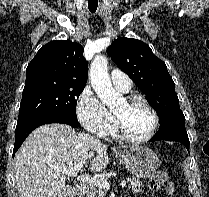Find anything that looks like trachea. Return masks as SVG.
Here are the masks:
<instances>
[{"label": "trachea", "instance_id": "obj_1", "mask_svg": "<svg viewBox=\"0 0 209 197\" xmlns=\"http://www.w3.org/2000/svg\"><path fill=\"white\" fill-rule=\"evenodd\" d=\"M98 7V1L97 0H90L88 2V9L91 13H95Z\"/></svg>", "mask_w": 209, "mask_h": 197}]
</instances>
